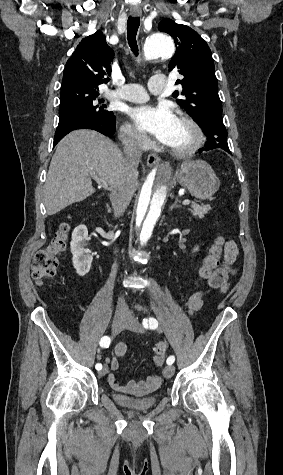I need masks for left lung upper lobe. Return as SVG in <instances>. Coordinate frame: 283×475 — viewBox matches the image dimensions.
I'll use <instances>...</instances> for the list:
<instances>
[{"mask_svg":"<svg viewBox=\"0 0 283 475\" xmlns=\"http://www.w3.org/2000/svg\"><path fill=\"white\" fill-rule=\"evenodd\" d=\"M158 29L174 38L176 53L168 66L184 76L176 81L182 86L180 93H173L174 98L181 96L176 102L196 119L199 126L205 118L222 114L214 61L207 43L196 31L171 19L162 20Z\"/></svg>","mask_w":283,"mask_h":475,"instance_id":"1","label":"left lung upper lobe"}]
</instances>
